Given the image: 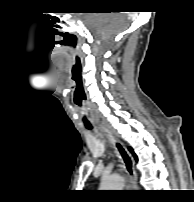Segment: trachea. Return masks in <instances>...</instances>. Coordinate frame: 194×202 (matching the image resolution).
Instances as JSON below:
<instances>
[{
	"label": "trachea",
	"mask_w": 194,
	"mask_h": 202,
	"mask_svg": "<svg viewBox=\"0 0 194 202\" xmlns=\"http://www.w3.org/2000/svg\"><path fill=\"white\" fill-rule=\"evenodd\" d=\"M86 128L89 129V130H91V129H92V126L87 125Z\"/></svg>",
	"instance_id": "trachea-1"
}]
</instances>
